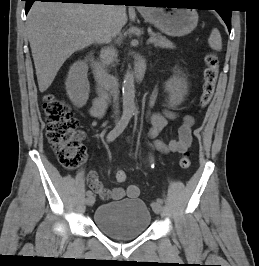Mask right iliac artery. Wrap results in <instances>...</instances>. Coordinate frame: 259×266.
Masks as SVG:
<instances>
[{"mask_svg": "<svg viewBox=\"0 0 259 266\" xmlns=\"http://www.w3.org/2000/svg\"><path fill=\"white\" fill-rule=\"evenodd\" d=\"M129 120H130L129 115H123L119 120V122L117 123V125L108 133L106 137L107 142L114 141L125 130V128L129 123ZM86 194L87 196H91L92 191L88 190Z\"/></svg>", "mask_w": 259, "mask_h": 266, "instance_id": "obj_1", "label": "right iliac artery"}]
</instances>
